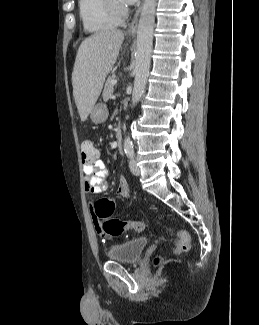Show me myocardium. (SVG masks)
Listing matches in <instances>:
<instances>
[{
  "label": "myocardium",
  "mask_w": 259,
  "mask_h": 325,
  "mask_svg": "<svg viewBox=\"0 0 259 325\" xmlns=\"http://www.w3.org/2000/svg\"><path fill=\"white\" fill-rule=\"evenodd\" d=\"M110 12L118 19L125 17L128 9L120 0H107Z\"/></svg>",
  "instance_id": "f54148a6"
}]
</instances>
